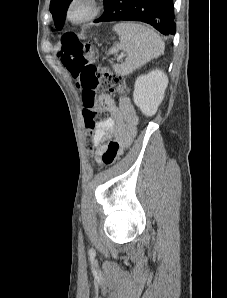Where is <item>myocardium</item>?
<instances>
[{"label":"myocardium","instance_id":"f54148a6","mask_svg":"<svg viewBox=\"0 0 227 298\" xmlns=\"http://www.w3.org/2000/svg\"><path fill=\"white\" fill-rule=\"evenodd\" d=\"M79 2H86L89 6V12L82 18L74 19L72 16V10L73 7ZM99 12L100 5L97 0H70L67 6L66 16L69 22L75 25H79L95 19L98 16Z\"/></svg>","mask_w":227,"mask_h":298}]
</instances>
